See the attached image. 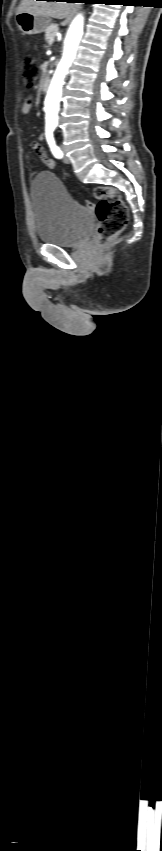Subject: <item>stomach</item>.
<instances>
[{
  "label": "stomach",
  "mask_w": 162,
  "mask_h": 851,
  "mask_svg": "<svg viewBox=\"0 0 162 851\" xmlns=\"http://www.w3.org/2000/svg\"><path fill=\"white\" fill-rule=\"evenodd\" d=\"M51 20L48 17L35 15L29 12H21L16 15L18 29L24 35L42 33L47 29Z\"/></svg>",
  "instance_id": "1"
}]
</instances>
